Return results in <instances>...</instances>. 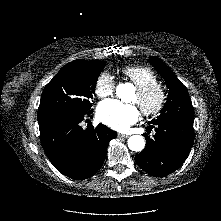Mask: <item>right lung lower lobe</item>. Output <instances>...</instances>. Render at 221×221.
<instances>
[{"mask_svg":"<svg viewBox=\"0 0 221 221\" xmlns=\"http://www.w3.org/2000/svg\"><path fill=\"white\" fill-rule=\"evenodd\" d=\"M80 115H62L39 121L43 149L54 167L65 176L84 180L98 171L107 147L117 133L103 124L83 129Z\"/></svg>","mask_w":221,"mask_h":221,"instance_id":"1","label":"right lung lower lobe"}]
</instances>
